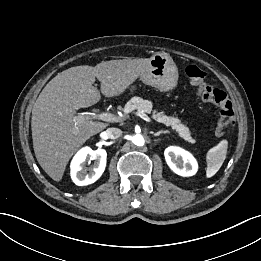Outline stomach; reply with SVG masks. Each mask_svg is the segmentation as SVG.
Instances as JSON below:
<instances>
[{
  "label": "stomach",
  "mask_w": 261,
  "mask_h": 261,
  "mask_svg": "<svg viewBox=\"0 0 261 261\" xmlns=\"http://www.w3.org/2000/svg\"><path fill=\"white\" fill-rule=\"evenodd\" d=\"M178 77V68L173 59L166 53H156L150 58L149 66L140 80L161 92H168L176 88Z\"/></svg>",
  "instance_id": "obj_1"
}]
</instances>
